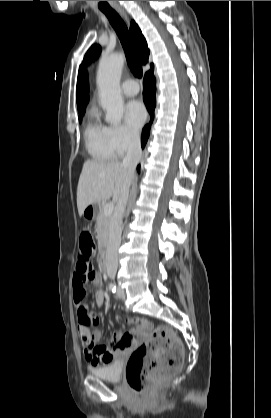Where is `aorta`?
Listing matches in <instances>:
<instances>
[{"label": "aorta", "mask_w": 271, "mask_h": 418, "mask_svg": "<svg viewBox=\"0 0 271 418\" xmlns=\"http://www.w3.org/2000/svg\"><path fill=\"white\" fill-rule=\"evenodd\" d=\"M124 66V55L117 53L100 61L97 73L100 103L106 112L105 120L119 124L124 113V102L120 90V77Z\"/></svg>", "instance_id": "762f6f07"}]
</instances>
